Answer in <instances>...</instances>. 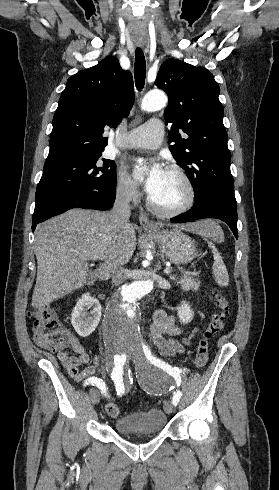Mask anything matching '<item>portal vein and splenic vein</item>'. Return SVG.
Instances as JSON below:
<instances>
[{"label": "portal vein and splenic vein", "mask_w": 279, "mask_h": 490, "mask_svg": "<svg viewBox=\"0 0 279 490\" xmlns=\"http://www.w3.org/2000/svg\"><path fill=\"white\" fill-rule=\"evenodd\" d=\"M164 272H165V274H171L172 268H170V266H167V268H165Z\"/></svg>", "instance_id": "obj_1"}]
</instances>
